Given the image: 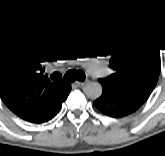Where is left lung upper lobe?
I'll use <instances>...</instances> for the list:
<instances>
[{"label": "left lung upper lobe", "instance_id": "left-lung-upper-lobe-1", "mask_svg": "<svg viewBox=\"0 0 165 156\" xmlns=\"http://www.w3.org/2000/svg\"><path fill=\"white\" fill-rule=\"evenodd\" d=\"M92 46L99 56L110 58L114 72L103 80L143 104L155 88L160 73L157 42L132 25L107 23L95 31Z\"/></svg>", "mask_w": 165, "mask_h": 156}]
</instances>
